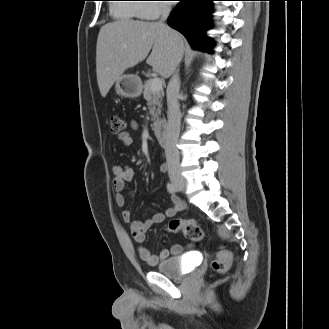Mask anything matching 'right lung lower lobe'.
<instances>
[{
    "instance_id": "1",
    "label": "right lung lower lobe",
    "mask_w": 329,
    "mask_h": 329,
    "mask_svg": "<svg viewBox=\"0 0 329 329\" xmlns=\"http://www.w3.org/2000/svg\"><path fill=\"white\" fill-rule=\"evenodd\" d=\"M180 1L170 14L168 24L181 32L193 48L211 52L213 42L205 35V31L210 28L214 0Z\"/></svg>"
}]
</instances>
